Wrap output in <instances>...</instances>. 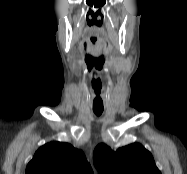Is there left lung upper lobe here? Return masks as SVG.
I'll return each mask as SVG.
<instances>
[{
	"label": "left lung upper lobe",
	"mask_w": 187,
	"mask_h": 174,
	"mask_svg": "<svg viewBox=\"0 0 187 174\" xmlns=\"http://www.w3.org/2000/svg\"><path fill=\"white\" fill-rule=\"evenodd\" d=\"M93 162L98 174H161L151 153L139 143L116 152L99 144L94 150Z\"/></svg>",
	"instance_id": "left-lung-upper-lobe-1"
}]
</instances>
